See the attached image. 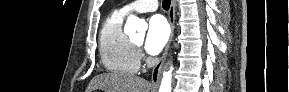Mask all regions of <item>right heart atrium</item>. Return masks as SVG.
Masks as SVG:
<instances>
[{
    "label": "right heart atrium",
    "instance_id": "d8ad5b80",
    "mask_svg": "<svg viewBox=\"0 0 289 92\" xmlns=\"http://www.w3.org/2000/svg\"><path fill=\"white\" fill-rule=\"evenodd\" d=\"M137 54H138V57H139V58L142 57V54H141L140 51H137Z\"/></svg>",
    "mask_w": 289,
    "mask_h": 92
}]
</instances>
